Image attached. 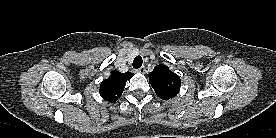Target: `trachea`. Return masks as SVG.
<instances>
[{"label":"trachea","mask_w":276,"mask_h":138,"mask_svg":"<svg viewBox=\"0 0 276 138\" xmlns=\"http://www.w3.org/2000/svg\"><path fill=\"white\" fill-rule=\"evenodd\" d=\"M142 63H143V60H142V57L141 56H137L135 57V59L133 60V64L132 66L135 68V69H138L142 66Z\"/></svg>","instance_id":"1"}]
</instances>
